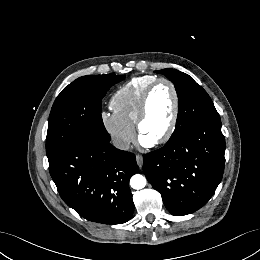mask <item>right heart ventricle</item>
<instances>
[{
	"label": "right heart ventricle",
	"mask_w": 260,
	"mask_h": 260,
	"mask_svg": "<svg viewBox=\"0 0 260 260\" xmlns=\"http://www.w3.org/2000/svg\"><path fill=\"white\" fill-rule=\"evenodd\" d=\"M156 79L154 76L144 75L134 77L121 86L110 99L113 111L131 125H135L143 95Z\"/></svg>",
	"instance_id": "right-heart-ventricle-1"
}]
</instances>
